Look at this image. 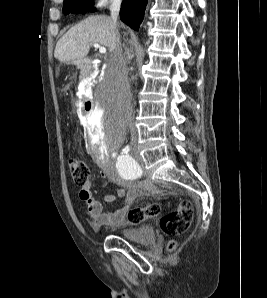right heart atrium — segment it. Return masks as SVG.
I'll return each instance as SVG.
<instances>
[{
	"mask_svg": "<svg viewBox=\"0 0 267 298\" xmlns=\"http://www.w3.org/2000/svg\"><path fill=\"white\" fill-rule=\"evenodd\" d=\"M121 0H94V7L96 10H102L110 4L119 3Z\"/></svg>",
	"mask_w": 267,
	"mask_h": 298,
	"instance_id": "right-heart-atrium-1",
	"label": "right heart atrium"
}]
</instances>
